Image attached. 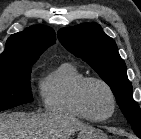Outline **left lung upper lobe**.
Returning a JSON list of instances; mask_svg holds the SVG:
<instances>
[{
  "instance_id": "1",
  "label": "left lung upper lobe",
  "mask_w": 141,
  "mask_h": 139,
  "mask_svg": "<svg viewBox=\"0 0 141 139\" xmlns=\"http://www.w3.org/2000/svg\"><path fill=\"white\" fill-rule=\"evenodd\" d=\"M62 45L89 64L110 86L135 134H141V109L132 98V85L115 41L97 23H84L58 31Z\"/></svg>"
}]
</instances>
